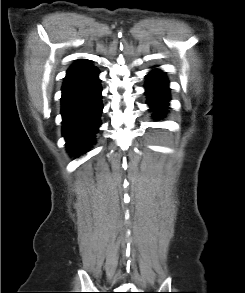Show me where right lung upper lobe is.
I'll return each mask as SVG.
<instances>
[{
    "label": "right lung upper lobe",
    "mask_w": 245,
    "mask_h": 293,
    "mask_svg": "<svg viewBox=\"0 0 245 293\" xmlns=\"http://www.w3.org/2000/svg\"><path fill=\"white\" fill-rule=\"evenodd\" d=\"M93 68L91 63H89L87 60L80 59L77 60L67 71V75L65 77V81L69 80L83 72H86Z\"/></svg>",
    "instance_id": "cb5924a9"
}]
</instances>
